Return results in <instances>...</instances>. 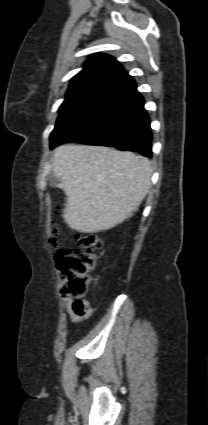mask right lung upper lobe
<instances>
[{"instance_id":"1","label":"right lung upper lobe","mask_w":208,"mask_h":425,"mask_svg":"<svg viewBox=\"0 0 208 425\" xmlns=\"http://www.w3.org/2000/svg\"><path fill=\"white\" fill-rule=\"evenodd\" d=\"M125 72L113 57L94 54L85 62L84 68L71 79L66 96L80 92H101Z\"/></svg>"}]
</instances>
